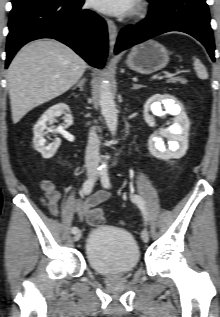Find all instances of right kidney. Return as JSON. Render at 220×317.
I'll return each mask as SVG.
<instances>
[{
  "instance_id": "obj_1",
  "label": "right kidney",
  "mask_w": 220,
  "mask_h": 317,
  "mask_svg": "<svg viewBox=\"0 0 220 317\" xmlns=\"http://www.w3.org/2000/svg\"><path fill=\"white\" fill-rule=\"evenodd\" d=\"M70 109L65 103H59L50 107L37 121L33 128V144L35 149L41 153L43 158H51L56 153L57 149L61 144V140L56 138L52 143L46 145V140L44 139V130L46 129V124H52L55 117L64 115V120L67 126L73 124V117L69 113Z\"/></svg>"
}]
</instances>
